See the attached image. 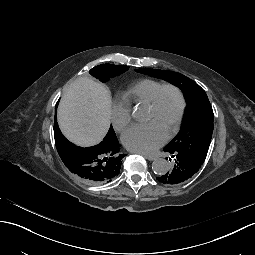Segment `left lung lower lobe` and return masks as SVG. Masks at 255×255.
<instances>
[{"instance_id": "0a47b994", "label": "left lung lower lobe", "mask_w": 255, "mask_h": 255, "mask_svg": "<svg viewBox=\"0 0 255 255\" xmlns=\"http://www.w3.org/2000/svg\"><path fill=\"white\" fill-rule=\"evenodd\" d=\"M165 150V149H164ZM166 155L170 157V160L176 164L174 169L165 175H160L157 181L161 184H173L182 181H188L190 177L197 175L199 170L193 163L182 157L179 151L165 150Z\"/></svg>"}]
</instances>
